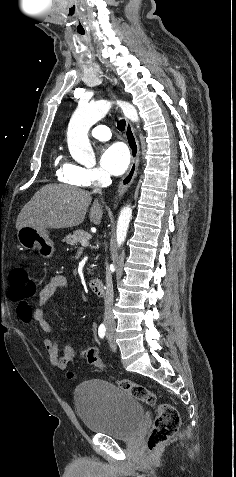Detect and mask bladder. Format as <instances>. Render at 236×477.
I'll use <instances>...</instances> for the list:
<instances>
[{"label":"bladder","mask_w":236,"mask_h":477,"mask_svg":"<svg viewBox=\"0 0 236 477\" xmlns=\"http://www.w3.org/2000/svg\"><path fill=\"white\" fill-rule=\"evenodd\" d=\"M75 406L86 429L125 440L134 437L144 420L140 400L105 380L91 379L74 392Z\"/></svg>","instance_id":"bladder-1"}]
</instances>
